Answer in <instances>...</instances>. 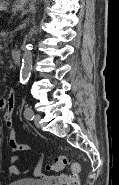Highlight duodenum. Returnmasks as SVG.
<instances>
[{
	"mask_svg": "<svg viewBox=\"0 0 119 185\" xmlns=\"http://www.w3.org/2000/svg\"><path fill=\"white\" fill-rule=\"evenodd\" d=\"M12 59L15 65H20L21 63V52L20 50H13L12 51Z\"/></svg>",
	"mask_w": 119,
	"mask_h": 185,
	"instance_id": "1",
	"label": "duodenum"
}]
</instances>
